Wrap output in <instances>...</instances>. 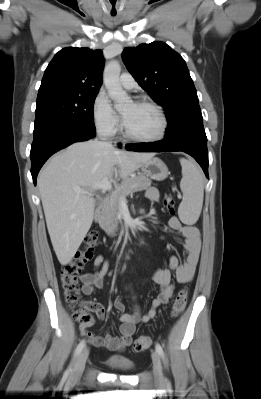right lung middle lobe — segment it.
<instances>
[{
	"instance_id": "dd1d6c3e",
	"label": "right lung middle lobe",
	"mask_w": 261,
	"mask_h": 399,
	"mask_svg": "<svg viewBox=\"0 0 261 399\" xmlns=\"http://www.w3.org/2000/svg\"><path fill=\"white\" fill-rule=\"evenodd\" d=\"M97 94H51L37 97L35 125L51 120H66L95 131L93 105Z\"/></svg>"
}]
</instances>
